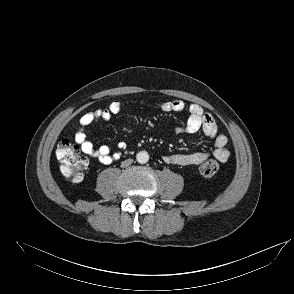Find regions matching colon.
<instances>
[{"label":"colon","instance_id":"colon-1","mask_svg":"<svg viewBox=\"0 0 294 294\" xmlns=\"http://www.w3.org/2000/svg\"><path fill=\"white\" fill-rule=\"evenodd\" d=\"M56 157L61 164L62 174L72 182H80L88 162L79 147L72 141L64 139L56 148ZM219 170V163L214 158H206L199 165V173L203 177H212Z\"/></svg>","mask_w":294,"mask_h":294}]
</instances>
